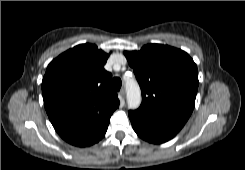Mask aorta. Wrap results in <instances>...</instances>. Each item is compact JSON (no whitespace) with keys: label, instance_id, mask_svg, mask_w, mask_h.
I'll use <instances>...</instances> for the list:
<instances>
[{"label":"aorta","instance_id":"aorta-1","mask_svg":"<svg viewBox=\"0 0 245 170\" xmlns=\"http://www.w3.org/2000/svg\"><path fill=\"white\" fill-rule=\"evenodd\" d=\"M127 103L130 109H137L141 104V92L135 81L126 84Z\"/></svg>","mask_w":245,"mask_h":170}]
</instances>
